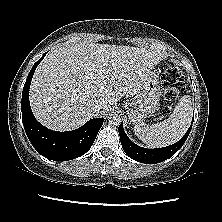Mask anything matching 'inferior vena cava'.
Wrapping results in <instances>:
<instances>
[{
	"label": "inferior vena cava",
	"mask_w": 222,
	"mask_h": 222,
	"mask_svg": "<svg viewBox=\"0 0 222 222\" xmlns=\"http://www.w3.org/2000/svg\"><path fill=\"white\" fill-rule=\"evenodd\" d=\"M89 108L93 113H98L101 110V104L89 103Z\"/></svg>",
	"instance_id": "1"
}]
</instances>
